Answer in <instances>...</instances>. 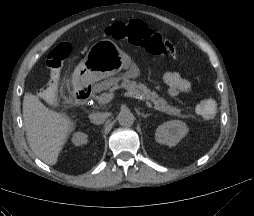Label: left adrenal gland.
<instances>
[{"mask_svg":"<svg viewBox=\"0 0 254 216\" xmlns=\"http://www.w3.org/2000/svg\"><path fill=\"white\" fill-rule=\"evenodd\" d=\"M142 116H143V118H147V117H148V115H147V114H146V115H145V114H143Z\"/></svg>","mask_w":254,"mask_h":216,"instance_id":"obj_1","label":"left adrenal gland"}]
</instances>
